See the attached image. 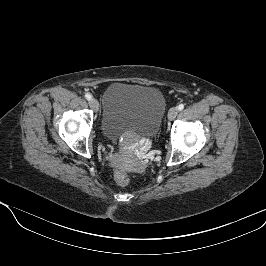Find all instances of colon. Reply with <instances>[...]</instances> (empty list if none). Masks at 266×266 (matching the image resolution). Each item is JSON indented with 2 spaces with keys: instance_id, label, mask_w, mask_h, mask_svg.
I'll list each match as a JSON object with an SVG mask.
<instances>
[{
  "instance_id": "5ec220e1",
  "label": "colon",
  "mask_w": 266,
  "mask_h": 266,
  "mask_svg": "<svg viewBox=\"0 0 266 266\" xmlns=\"http://www.w3.org/2000/svg\"><path fill=\"white\" fill-rule=\"evenodd\" d=\"M114 179L120 186H126L129 183V176L124 170H116L114 173Z\"/></svg>"
}]
</instances>
